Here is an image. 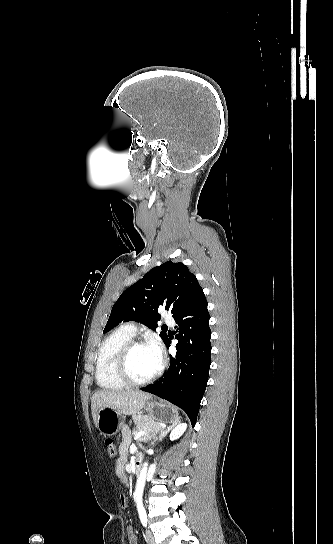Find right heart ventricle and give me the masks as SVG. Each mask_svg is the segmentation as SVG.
Returning a JSON list of instances; mask_svg holds the SVG:
<instances>
[{
  "instance_id": "right-heart-ventricle-1",
  "label": "right heart ventricle",
  "mask_w": 333,
  "mask_h": 544,
  "mask_svg": "<svg viewBox=\"0 0 333 544\" xmlns=\"http://www.w3.org/2000/svg\"><path fill=\"white\" fill-rule=\"evenodd\" d=\"M133 337L134 335L120 327L102 341L95 366L96 382L102 389L119 390L126 386L117 374L116 361L121 348Z\"/></svg>"
}]
</instances>
